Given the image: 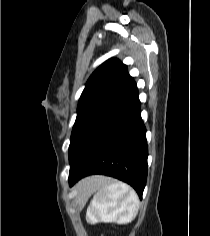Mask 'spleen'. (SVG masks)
I'll use <instances>...</instances> for the list:
<instances>
[{
    "label": "spleen",
    "instance_id": "1",
    "mask_svg": "<svg viewBox=\"0 0 210 236\" xmlns=\"http://www.w3.org/2000/svg\"><path fill=\"white\" fill-rule=\"evenodd\" d=\"M81 187L85 196L97 190L87 209V220L90 223L127 224L138 214V195L125 183H109L101 178L97 182H83Z\"/></svg>",
    "mask_w": 210,
    "mask_h": 236
}]
</instances>
